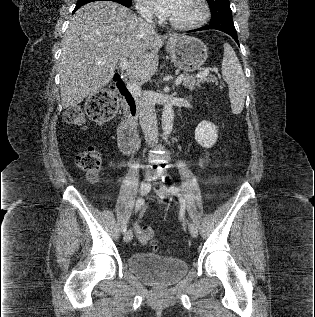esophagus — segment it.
Returning <instances> with one entry per match:
<instances>
[{
	"instance_id": "obj_1",
	"label": "esophagus",
	"mask_w": 315,
	"mask_h": 317,
	"mask_svg": "<svg viewBox=\"0 0 315 317\" xmlns=\"http://www.w3.org/2000/svg\"><path fill=\"white\" fill-rule=\"evenodd\" d=\"M168 36H169V37H173V34H172V33H169Z\"/></svg>"
}]
</instances>
